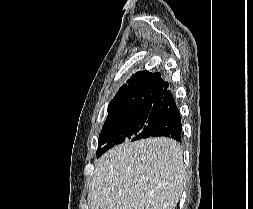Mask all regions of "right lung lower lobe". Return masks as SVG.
<instances>
[{
	"instance_id": "obj_1",
	"label": "right lung lower lobe",
	"mask_w": 253,
	"mask_h": 209,
	"mask_svg": "<svg viewBox=\"0 0 253 209\" xmlns=\"http://www.w3.org/2000/svg\"><path fill=\"white\" fill-rule=\"evenodd\" d=\"M152 109L159 112L157 121L147 131L140 133L141 139L165 136L182 141V124L179 110L171 91H167L162 98L157 100Z\"/></svg>"
}]
</instances>
